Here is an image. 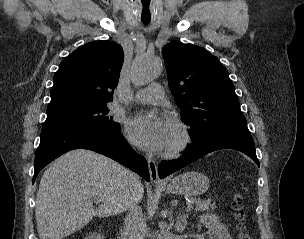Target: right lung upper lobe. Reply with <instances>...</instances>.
Returning a JSON list of instances; mask_svg holds the SVG:
<instances>
[{"label":"right lung upper lobe","mask_w":304,"mask_h":239,"mask_svg":"<svg viewBox=\"0 0 304 239\" xmlns=\"http://www.w3.org/2000/svg\"><path fill=\"white\" fill-rule=\"evenodd\" d=\"M123 61L122 47L111 41L87 43L72 52L54 75L47 116L111 102Z\"/></svg>","instance_id":"1"}]
</instances>
